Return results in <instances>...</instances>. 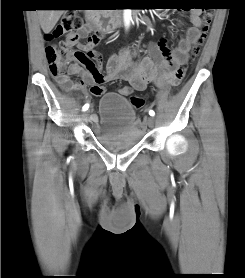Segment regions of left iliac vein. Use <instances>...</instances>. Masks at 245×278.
<instances>
[{
  "instance_id": "4c4485c4",
  "label": "left iliac vein",
  "mask_w": 245,
  "mask_h": 278,
  "mask_svg": "<svg viewBox=\"0 0 245 278\" xmlns=\"http://www.w3.org/2000/svg\"><path fill=\"white\" fill-rule=\"evenodd\" d=\"M154 123H155V119L154 117L150 116L148 118H146V124L149 126V127H153L154 126Z\"/></svg>"
}]
</instances>
